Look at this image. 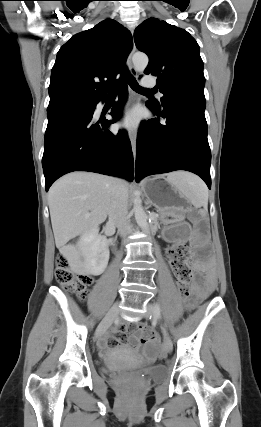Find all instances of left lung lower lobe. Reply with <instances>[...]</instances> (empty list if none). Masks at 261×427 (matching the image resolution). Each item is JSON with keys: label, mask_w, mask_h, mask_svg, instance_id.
Returning a JSON list of instances; mask_svg holds the SVG:
<instances>
[{"label": "left lung lower lobe", "mask_w": 261, "mask_h": 427, "mask_svg": "<svg viewBox=\"0 0 261 427\" xmlns=\"http://www.w3.org/2000/svg\"><path fill=\"white\" fill-rule=\"evenodd\" d=\"M157 115L141 123L137 139L136 181L152 174L186 170L200 176L211 187V152L207 140L205 100L179 96L157 108ZM166 119L165 124L159 122Z\"/></svg>", "instance_id": "1"}]
</instances>
